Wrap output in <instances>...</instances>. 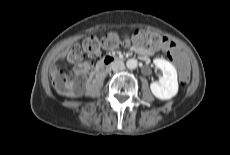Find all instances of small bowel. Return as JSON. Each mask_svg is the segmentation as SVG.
<instances>
[{
    "label": "small bowel",
    "instance_id": "c3829d8e",
    "mask_svg": "<svg viewBox=\"0 0 230 155\" xmlns=\"http://www.w3.org/2000/svg\"><path fill=\"white\" fill-rule=\"evenodd\" d=\"M133 49L137 53H139L140 55H151V54H153L155 52L157 47H147V46H141V45H138V44H134ZM162 49H164V48L162 47Z\"/></svg>",
    "mask_w": 230,
    "mask_h": 155
}]
</instances>
